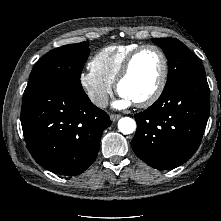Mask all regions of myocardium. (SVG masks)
<instances>
[{
  "label": "myocardium",
  "instance_id": "obj_1",
  "mask_svg": "<svg viewBox=\"0 0 221 221\" xmlns=\"http://www.w3.org/2000/svg\"><path fill=\"white\" fill-rule=\"evenodd\" d=\"M146 49H153L159 54V56L161 58V62H162V70H161V76H160L159 82H158L155 90L146 99L136 102V105L138 107H149L152 104H154L160 98V96L162 95V93L166 87V83H167V79H168V59H167L164 51L159 46L154 45V44H144V45L139 46L138 48L133 50L128 55V57L126 58L123 66H122L121 70L119 71L117 78L115 80L116 91L118 94L121 95L120 86H121L122 82L130 74L132 65H133L136 57Z\"/></svg>",
  "mask_w": 221,
  "mask_h": 221
}]
</instances>
